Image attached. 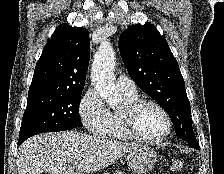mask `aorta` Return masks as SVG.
<instances>
[{
	"label": "aorta",
	"mask_w": 224,
	"mask_h": 174,
	"mask_svg": "<svg viewBox=\"0 0 224 174\" xmlns=\"http://www.w3.org/2000/svg\"><path fill=\"white\" fill-rule=\"evenodd\" d=\"M115 52L108 43H102L97 50L91 70V81L102 99L110 106L118 105L122 98L115 83Z\"/></svg>",
	"instance_id": "obj_1"
}]
</instances>
